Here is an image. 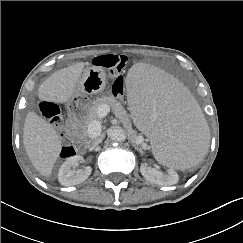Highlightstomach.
<instances>
[{
  "label": "stomach",
  "instance_id": "obj_1",
  "mask_svg": "<svg viewBox=\"0 0 243 243\" xmlns=\"http://www.w3.org/2000/svg\"><path fill=\"white\" fill-rule=\"evenodd\" d=\"M107 86L106 73L103 68L89 66L81 74L74 95L67 102L68 114L76 117L80 111L89 106L86 98L89 95L98 94Z\"/></svg>",
  "mask_w": 243,
  "mask_h": 243
}]
</instances>
